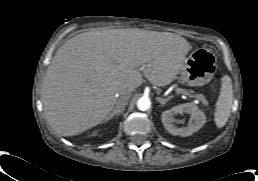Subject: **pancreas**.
Listing matches in <instances>:
<instances>
[{
    "label": "pancreas",
    "mask_w": 258,
    "mask_h": 181,
    "mask_svg": "<svg viewBox=\"0 0 258 181\" xmlns=\"http://www.w3.org/2000/svg\"><path fill=\"white\" fill-rule=\"evenodd\" d=\"M189 93H191L196 99L202 101L203 103H205V97L202 94H194V91H189Z\"/></svg>",
    "instance_id": "1"
}]
</instances>
